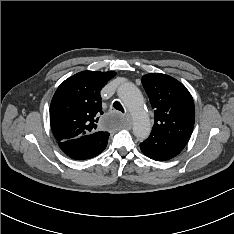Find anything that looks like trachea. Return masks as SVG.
Here are the masks:
<instances>
[{
    "instance_id": "3493384b",
    "label": "trachea",
    "mask_w": 234,
    "mask_h": 234,
    "mask_svg": "<svg viewBox=\"0 0 234 234\" xmlns=\"http://www.w3.org/2000/svg\"><path fill=\"white\" fill-rule=\"evenodd\" d=\"M113 107H114L116 110L121 111L122 113H124V108H123V106L121 105L120 102L115 101V102L113 103Z\"/></svg>"
}]
</instances>
